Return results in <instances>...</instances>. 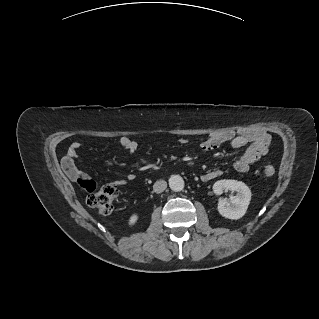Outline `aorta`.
<instances>
[{
	"mask_svg": "<svg viewBox=\"0 0 319 319\" xmlns=\"http://www.w3.org/2000/svg\"><path fill=\"white\" fill-rule=\"evenodd\" d=\"M169 186L174 192H180L184 189V180L180 175H172L169 178Z\"/></svg>",
	"mask_w": 319,
	"mask_h": 319,
	"instance_id": "aorta-1",
	"label": "aorta"
}]
</instances>
